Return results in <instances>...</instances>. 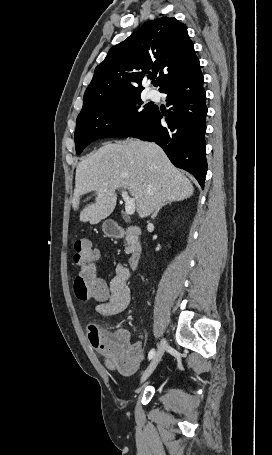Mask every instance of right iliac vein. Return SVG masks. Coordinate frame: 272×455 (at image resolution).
<instances>
[{
  "label": "right iliac vein",
  "instance_id": "63e3f726",
  "mask_svg": "<svg viewBox=\"0 0 272 455\" xmlns=\"http://www.w3.org/2000/svg\"><path fill=\"white\" fill-rule=\"evenodd\" d=\"M166 347H167V342H166V339L163 338L161 340L160 345H159L157 351L155 352V355L153 356L150 364L148 365L146 370L143 372L140 383L145 382L150 377V375L153 373V371L157 367L158 363L160 362Z\"/></svg>",
  "mask_w": 272,
  "mask_h": 455
}]
</instances>
